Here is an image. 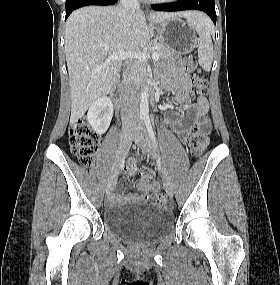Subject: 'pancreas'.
<instances>
[{"label": "pancreas", "mask_w": 280, "mask_h": 285, "mask_svg": "<svg viewBox=\"0 0 280 285\" xmlns=\"http://www.w3.org/2000/svg\"><path fill=\"white\" fill-rule=\"evenodd\" d=\"M152 53H158L161 59L171 56L174 51L161 42L155 41ZM147 76V65L145 63L137 62L134 64V70L131 77L133 83L139 86Z\"/></svg>", "instance_id": "cf45deb5"}]
</instances>
